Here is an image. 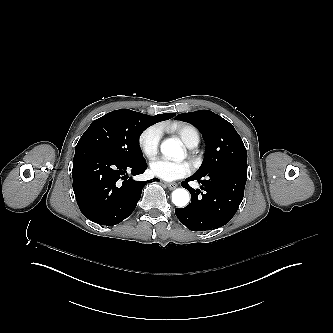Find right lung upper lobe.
I'll return each mask as SVG.
<instances>
[{"label": "right lung upper lobe", "instance_id": "obj_1", "mask_svg": "<svg viewBox=\"0 0 333 333\" xmlns=\"http://www.w3.org/2000/svg\"><path fill=\"white\" fill-rule=\"evenodd\" d=\"M145 117L147 118V120L153 124L157 123V122H160V121H163V120H168L172 117L175 116V113H164V114H159V115H155V116H149V115H146L144 114Z\"/></svg>", "mask_w": 333, "mask_h": 333}]
</instances>
